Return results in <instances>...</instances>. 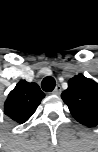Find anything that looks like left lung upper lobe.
Here are the masks:
<instances>
[{
	"label": "left lung upper lobe",
	"mask_w": 98,
	"mask_h": 152,
	"mask_svg": "<svg viewBox=\"0 0 98 152\" xmlns=\"http://www.w3.org/2000/svg\"><path fill=\"white\" fill-rule=\"evenodd\" d=\"M61 98L68 106L72 116L87 127L98 124V83L82 74L68 81V88Z\"/></svg>",
	"instance_id": "left-lung-upper-lobe-1"
}]
</instances>
